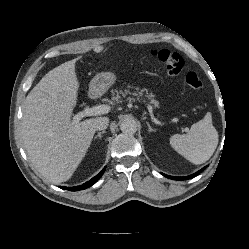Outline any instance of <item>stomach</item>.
Wrapping results in <instances>:
<instances>
[{
  "instance_id": "0dacf381",
  "label": "stomach",
  "mask_w": 249,
  "mask_h": 249,
  "mask_svg": "<svg viewBox=\"0 0 249 249\" xmlns=\"http://www.w3.org/2000/svg\"><path fill=\"white\" fill-rule=\"evenodd\" d=\"M116 80V75L112 72L99 73L90 82V90L95 93H104Z\"/></svg>"
}]
</instances>
